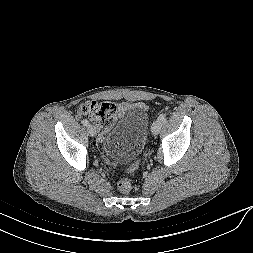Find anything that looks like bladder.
<instances>
[{"label": "bladder", "instance_id": "31cf9c89", "mask_svg": "<svg viewBox=\"0 0 253 253\" xmlns=\"http://www.w3.org/2000/svg\"><path fill=\"white\" fill-rule=\"evenodd\" d=\"M148 127L149 116L144 110L127 109L118 114L104 134V142L115 152L117 162L128 163L141 152Z\"/></svg>", "mask_w": 253, "mask_h": 253}]
</instances>
